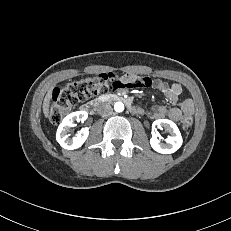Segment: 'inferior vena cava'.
Here are the masks:
<instances>
[{"instance_id": "1", "label": "inferior vena cava", "mask_w": 231, "mask_h": 231, "mask_svg": "<svg viewBox=\"0 0 231 231\" xmlns=\"http://www.w3.org/2000/svg\"><path fill=\"white\" fill-rule=\"evenodd\" d=\"M112 110L109 103H101L97 106V112L100 115H106Z\"/></svg>"}]
</instances>
